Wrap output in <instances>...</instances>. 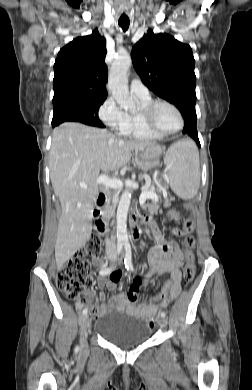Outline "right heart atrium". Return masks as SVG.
<instances>
[{
  "label": "right heart atrium",
  "mask_w": 252,
  "mask_h": 390,
  "mask_svg": "<svg viewBox=\"0 0 252 390\" xmlns=\"http://www.w3.org/2000/svg\"><path fill=\"white\" fill-rule=\"evenodd\" d=\"M98 115L110 129L120 136H126L129 129L128 114L120 108L113 98L109 97L102 103Z\"/></svg>",
  "instance_id": "d8ad5b80"
}]
</instances>
